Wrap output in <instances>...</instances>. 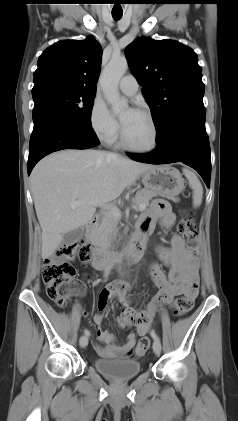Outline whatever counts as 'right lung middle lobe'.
<instances>
[{
    "instance_id": "obj_1",
    "label": "right lung middle lobe",
    "mask_w": 238,
    "mask_h": 421,
    "mask_svg": "<svg viewBox=\"0 0 238 421\" xmlns=\"http://www.w3.org/2000/svg\"><path fill=\"white\" fill-rule=\"evenodd\" d=\"M95 95V90L60 83H44L34 86L32 89L33 116L42 109H53L82 126L92 128L91 111Z\"/></svg>"
}]
</instances>
